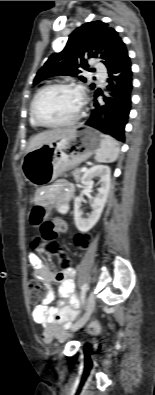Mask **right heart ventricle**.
<instances>
[{
  "label": "right heart ventricle",
  "instance_id": "obj_1",
  "mask_svg": "<svg viewBox=\"0 0 155 395\" xmlns=\"http://www.w3.org/2000/svg\"><path fill=\"white\" fill-rule=\"evenodd\" d=\"M30 122H31V124H32L33 126H37V125L33 122L31 116H30Z\"/></svg>",
  "mask_w": 155,
  "mask_h": 395
}]
</instances>
